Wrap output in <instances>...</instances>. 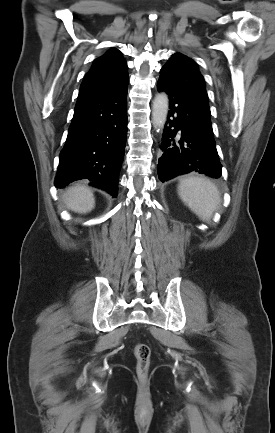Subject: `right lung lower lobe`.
Segmentation results:
<instances>
[{
  "mask_svg": "<svg viewBox=\"0 0 275 433\" xmlns=\"http://www.w3.org/2000/svg\"><path fill=\"white\" fill-rule=\"evenodd\" d=\"M126 137L127 87L77 101L55 186L88 179L90 185L116 197Z\"/></svg>",
  "mask_w": 275,
  "mask_h": 433,
  "instance_id": "right-lung-lower-lobe-1",
  "label": "right lung lower lobe"
}]
</instances>
